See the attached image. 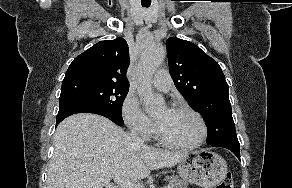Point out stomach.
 <instances>
[{"mask_svg": "<svg viewBox=\"0 0 292 188\" xmlns=\"http://www.w3.org/2000/svg\"><path fill=\"white\" fill-rule=\"evenodd\" d=\"M179 175L191 184L213 188L227 173L226 161L210 149H198L189 153L178 163Z\"/></svg>", "mask_w": 292, "mask_h": 188, "instance_id": "obj_1", "label": "stomach"}]
</instances>
